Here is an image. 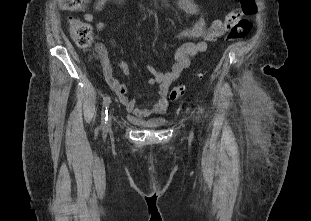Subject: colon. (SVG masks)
I'll return each instance as SVG.
<instances>
[{"mask_svg":"<svg viewBox=\"0 0 311 221\" xmlns=\"http://www.w3.org/2000/svg\"><path fill=\"white\" fill-rule=\"evenodd\" d=\"M90 0H65L58 1V8H65L66 12H78L81 8L79 4H89ZM241 8L244 9L246 16L256 17L257 15V3L256 0H241ZM241 14L236 11H232L227 14L223 21H216L212 23L209 30V40H214V36H222L221 32L228 28V24H232L235 18H240ZM69 33L72 39L75 41L76 45L80 49H89L93 42V28L91 24L78 19H72L69 24ZM250 30V21H241L233 26L232 33H229V40H241L244 38ZM103 52H101V55ZM204 71L199 72L196 77L199 79L203 77ZM186 88L185 86H177L171 89L169 92V99L174 101L178 99L182 94H184Z\"/></svg>","mask_w":311,"mask_h":221,"instance_id":"colon-1","label":"colon"}]
</instances>
